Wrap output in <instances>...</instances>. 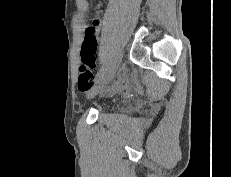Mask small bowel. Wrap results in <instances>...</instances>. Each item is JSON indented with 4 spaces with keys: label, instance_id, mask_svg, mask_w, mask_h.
<instances>
[{
    "label": "small bowel",
    "instance_id": "1",
    "mask_svg": "<svg viewBox=\"0 0 231 177\" xmlns=\"http://www.w3.org/2000/svg\"><path fill=\"white\" fill-rule=\"evenodd\" d=\"M101 25H102V19L100 16H96L93 18L92 20V26L87 27V26H83V30L84 33L87 32L88 29L92 28L97 36V34L99 33L100 29H101ZM122 87L120 85L115 87V90H120Z\"/></svg>",
    "mask_w": 231,
    "mask_h": 177
}]
</instances>
